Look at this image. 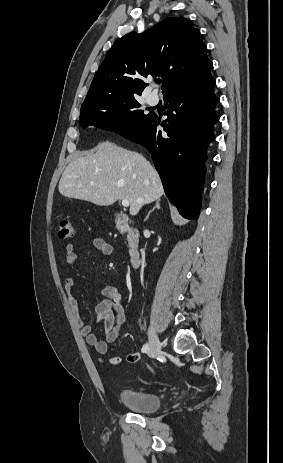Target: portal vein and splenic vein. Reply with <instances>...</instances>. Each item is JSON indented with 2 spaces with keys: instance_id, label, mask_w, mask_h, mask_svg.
Here are the masks:
<instances>
[{
  "instance_id": "portal-vein-and-splenic-vein-1",
  "label": "portal vein and splenic vein",
  "mask_w": 283,
  "mask_h": 463,
  "mask_svg": "<svg viewBox=\"0 0 283 463\" xmlns=\"http://www.w3.org/2000/svg\"><path fill=\"white\" fill-rule=\"evenodd\" d=\"M122 205H123L124 207H128V206H129V201L126 200V199L122 200Z\"/></svg>"
}]
</instances>
